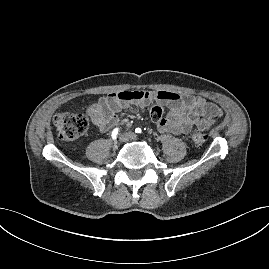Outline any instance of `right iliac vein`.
Listing matches in <instances>:
<instances>
[{
	"label": "right iliac vein",
	"mask_w": 269,
	"mask_h": 269,
	"mask_svg": "<svg viewBox=\"0 0 269 269\" xmlns=\"http://www.w3.org/2000/svg\"><path fill=\"white\" fill-rule=\"evenodd\" d=\"M127 139H126V136L124 134L120 135L119 137V141L120 142H125Z\"/></svg>",
	"instance_id": "obj_1"
}]
</instances>
